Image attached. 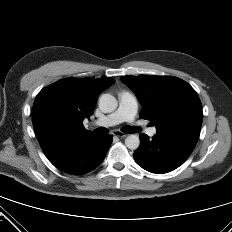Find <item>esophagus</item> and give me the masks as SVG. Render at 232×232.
<instances>
[{
	"mask_svg": "<svg viewBox=\"0 0 232 232\" xmlns=\"http://www.w3.org/2000/svg\"><path fill=\"white\" fill-rule=\"evenodd\" d=\"M113 135H114V136H117V137H120V138H124V137L127 136V134L123 133V132L120 131V130H115V131L113 132Z\"/></svg>",
	"mask_w": 232,
	"mask_h": 232,
	"instance_id": "34e87169",
	"label": "esophagus"
}]
</instances>
